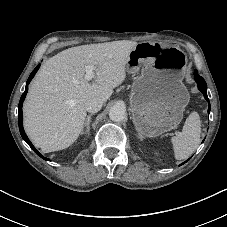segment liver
<instances>
[{
    "label": "liver",
    "mask_w": 227,
    "mask_h": 227,
    "mask_svg": "<svg viewBox=\"0 0 227 227\" xmlns=\"http://www.w3.org/2000/svg\"><path fill=\"white\" fill-rule=\"evenodd\" d=\"M138 43L121 40L66 49L49 58L34 78L23 106L24 128L45 153L73 144L86 121L85 103L106 102L126 78V65ZM95 66V81L85 79V66Z\"/></svg>",
    "instance_id": "liver-1"
}]
</instances>
